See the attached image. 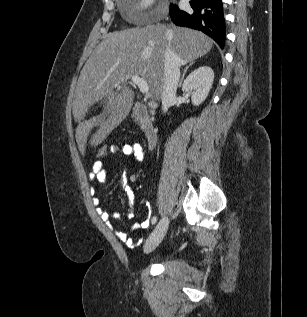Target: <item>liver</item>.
<instances>
[{
	"label": "liver",
	"instance_id": "6515ba94",
	"mask_svg": "<svg viewBox=\"0 0 307 317\" xmlns=\"http://www.w3.org/2000/svg\"><path fill=\"white\" fill-rule=\"evenodd\" d=\"M213 43L199 31L159 24L106 35L85 63L72 103L80 150H84L94 127L99 129L93 134L91 144L97 145L128 115L134 97L128 86L132 76L147 81L153 99L161 98L167 47L178 55L183 65L206 55ZM103 99V113L84 121L90 107Z\"/></svg>",
	"mask_w": 307,
	"mask_h": 317
}]
</instances>
